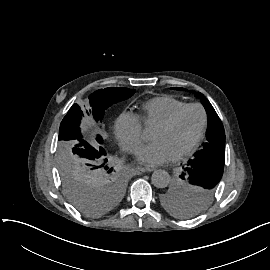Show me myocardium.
Returning <instances> with one entry per match:
<instances>
[{
	"instance_id": "obj_1",
	"label": "myocardium",
	"mask_w": 270,
	"mask_h": 270,
	"mask_svg": "<svg viewBox=\"0 0 270 270\" xmlns=\"http://www.w3.org/2000/svg\"><path fill=\"white\" fill-rule=\"evenodd\" d=\"M190 109H197L200 112V114H201L200 128H199L198 134H197L196 138L193 140V142L177 154L178 159L190 154L198 147L201 139L203 138L204 131H205L206 124H207L206 111L204 110V108L200 104H195V103L188 104V105L184 106L183 108L179 109L178 111H176L168 119H166L158 124L161 127L172 128L178 122V120L181 118V116L186 111H188Z\"/></svg>"
}]
</instances>
